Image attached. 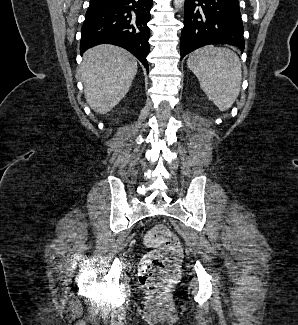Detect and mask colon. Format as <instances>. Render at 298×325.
Segmentation results:
<instances>
[{"label":"colon","mask_w":298,"mask_h":325,"mask_svg":"<svg viewBox=\"0 0 298 325\" xmlns=\"http://www.w3.org/2000/svg\"><path fill=\"white\" fill-rule=\"evenodd\" d=\"M151 248L139 268L140 283L152 294L164 295L177 281L183 258L178 237L165 225L152 227L144 236Z\"/></svg>","instance_id":"obj_1"}]
</instances>
